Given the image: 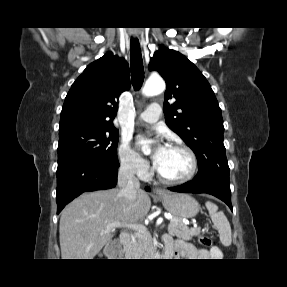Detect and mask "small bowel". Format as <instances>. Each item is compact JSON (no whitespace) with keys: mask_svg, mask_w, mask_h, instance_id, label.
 <instances>
[{"mask_svg":"<svg viewBox=\"0 0 287 287\" xmlns=\"http://www.w3.org/2000/svg\"><path fill=\"white\" fill-rule=\"evenodd\" d=\"M163 241L169 254L179 259L196 260L206 259L210 256L218 257L220 255L218 248H214L209 252L205 249L197 248L181 239L173 241L170 236H165Z\"/></svg>","mask_w":287,"mask_h":287,"instance_id":"obj_1","label":"small bowel"}]
</instances>
